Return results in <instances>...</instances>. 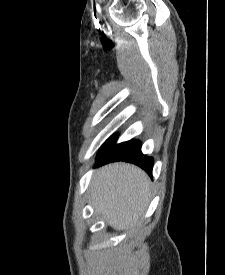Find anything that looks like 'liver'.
Returning a JSON list of instances; mask_svg holds the SVG:
<instances>
[{"label":"liver","instance_id":"liver-1","mask_svg":"<svg viewBox=\"0 0 225 275\" xmlns=\"http://www.w3.org/2000/svg\"><path fill=\"white\" fill-rule=\"evenodd\" d=\"M89 189L95 212L115 230L127 231L137 226L151 198L148 175L123 162L96 170Z\"/></svg>","mask_w":225,"mask_h":275}]
</instances>
